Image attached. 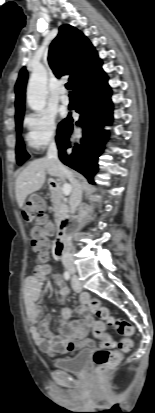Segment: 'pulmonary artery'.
I'll list each match as a JSON object with an SVG mask.
<instances>
[{
	"label": "pulmonary artery",
	"mask_w": 155,
	"mask_h": 413,
	"mask_svg": "<svg viewBox=\"0 0 155 413\" xmlns=\"http://www.w3.org/2000/svg\"><path fill=\"white\" fill-rule=\"evenodd\" d=\"M60 100L63 104L68 105L70 103V99L67 95L66 89L62 87L60 89Z\"/></svg>",
	"instance_id": "1"
}]
</instances>
